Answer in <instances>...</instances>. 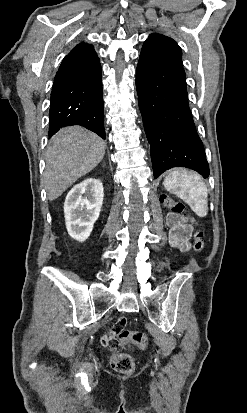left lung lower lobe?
I'll list each match as a JSON object with an SVG mask.
<instances>
[{
	"label": "left lung lower lobe",
	"mask_w": 247,
	"mask_h": 413,
	"mask_svg": "<svg viewBox=\"0 0 247 413\" xmlns=\"http://www.w3.org/2000/svg\"><path fill=\"white\" fill-rule=\"evenodd\" d=\"M136 88L154 178L172 167H187L207 178L209 165L189 109L182 63L142 48Z\"/></svg>",
	"instance_id": "obj_1"
}]
</instances>
